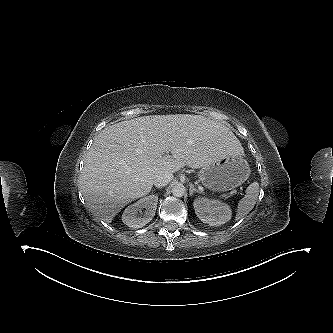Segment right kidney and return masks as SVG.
I'll use <instances>...</instances> for the list:
<instances>
[{"label": "right kidney", "instance_id": "right-kidney-1", "mask_svg": "<svg viewBox=\"0 0 333 333\" xmlns=\"http://www.w3.org/2000/svg\"><path fill=\"white\" fill-rule=\"evenodd\" d=\"M158 196L149 195L128 206L122 215V221L130 228L138 229L149 223L155 215ZM145 209V214L139 216L138 212Z\"/></svg>", "mask_w": 333, "mask_h": 333}]
</instances>
